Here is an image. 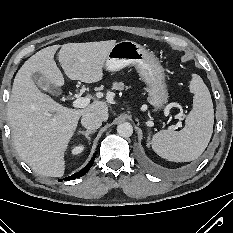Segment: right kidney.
Wrapping results in <instances>:
<instances>
[{
  "mask_svg": "<svg viewBox=\"0 0 233 233\" xmlns=\"http://www.w3.org/2000/svg\"><path fill=\"white\" fill-rule=\"evenodd\" d=\"M84 150V146L83 145H77V146H74L73 149H72V154L73 155H79L83 152Z\"/></svg>",
  "mask_w": 233,
  "mask_h": 233,
  "instance_id": "obj_1",
  "label": "right kidney"
}]
</instances>
